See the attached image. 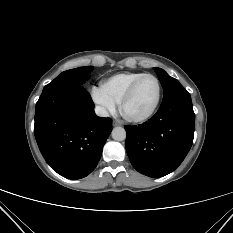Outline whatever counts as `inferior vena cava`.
Masks as SVG:
<instances>
[{
  "label": "inferior vena cava",
  "mask_w": 233,
  "mask_h": 233,
  "mask_svg": "<svg viewBox=\"0 0 233 233\" xmlns=\"http://www.w3.org/2000/svg\"><path fill=\"white\" fill-rule=\"evenodd\" d=\"M95 113L100 117H107L109 114L104 107L97 106L95 108Z\"/></svg>",
  "instance_id": "inferior-vena-cava-1"
}]
</instances>
